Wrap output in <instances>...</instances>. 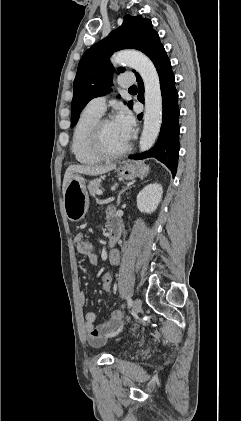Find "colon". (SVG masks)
Returning a JSON list of instances; mask_svg holds the SVG:
<instances>
[{
    "instance_id": "colon-1",
    "label": "colon",
    "mask_w": 241,
    "mask_h": 421,
    "mask_svg": "<svg viewBox=\"0 0 241 421\" xmlns=\"http://www.w3.org/2000/svg\"><path fill=\"white\" fill-rule=\"evenodd\" d=\"M77 249L79 253L87 254L93 252V244L88 240H84L78 245ZM101 284L105 292H111L113 287V276L110 271H106L101 275Z\"/></svg>"
}]
</instances>
